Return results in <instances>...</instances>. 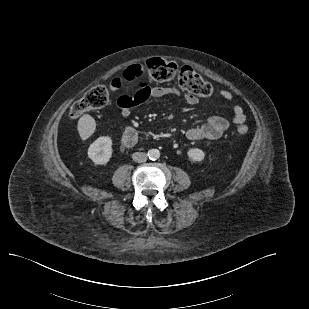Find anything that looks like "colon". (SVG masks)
I'll list each match as a JSON object with an SVG mask.
<instances>
[{
    "label": "colon",
    "mask_w": 309,
    "mask_h": 309,
    "mask_svg": "<svg viewBox=\"0 0 309 309\" xmlns=\"http://www.w3.org/2000/svg\"><path fill=\"white\" fill-rule=\"evenodd\" d=\"M150 76L159 82H167L177 78L180 88L196 97H208L212 94V86L204 80L190 66L179 67L176 63L161 58H153L145 64ZM131 77L136 78L140 74V67L130 66L128 68ZM109 100L108 90L103 85L94 86L89 89L82 99L77 101L71 109V117L77 119L84 113L104 107ZM239 134H246L248 128L241 124L237 127Z\"/></svg>",
    "instance_id": "1"
}]
</instances>
